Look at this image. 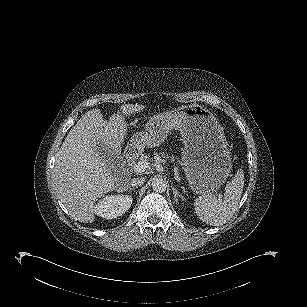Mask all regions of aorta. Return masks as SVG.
<instances>
[{
  "label": "aorta",
  "instance_id": "obj_1",
  "mask_svg": "<svg viewBox=\"0 0 307 307\" xmlns=\"http://www.w3.org/2000/svg\"><path fill=\"white\" fill-rule=\"evenodd\" d=\"M151 185L153 191L157 193H162L167 188V182L161 178H154Z\"/></svg>",
  "mask_w": 307,
  "mask_h": 307
}]
</instances>
